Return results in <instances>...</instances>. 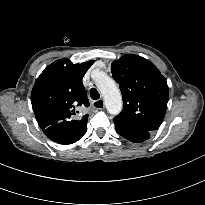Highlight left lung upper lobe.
<instances>
[{"instance_id": "left-lung-upper-lobe-1", "label": "left lung upper lobe", "mask_w": 205, "mask_h": 205, "mask_svg": "<svg viewBox=\"0 0 205 205\" xmlns=\"http://www.w3.org/2000/svg\"><path fill=\"white\" fill-rule=\"evenodd\" d=\"M111 72L123 97V110L116 117L149 131L157 130L169 97L160 71L147 59L126 54L112 63Z\"/></svg>"}]
</instances>
